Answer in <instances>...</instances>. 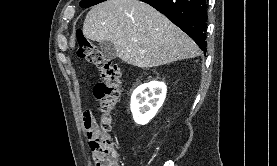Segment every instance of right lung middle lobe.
Masks as SVG:
<instances>
[{
	"mask_svg": "<svg viewBox=\"0 0 277 166\" xmlns=\"http://www.w3.org/2000/svg\"><path fill=\"white\" fill-rule=\"evenodd\" d=\"M103 1H105V0H82V1L80 2V6H81L82 8H88V7H91V6H93V5H96V4H98V3H100V2H103Z\"/></svg>",
	"mask_w": 277,
	"mask_h": 166,
	"instance_id": "1",
	"label": "right lung middle lobe"
}]
</instances>
